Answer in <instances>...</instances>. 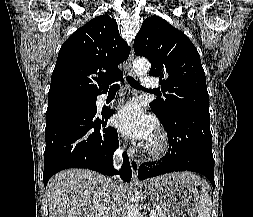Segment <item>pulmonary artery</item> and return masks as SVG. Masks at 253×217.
<instances>
[{
	"label": "pulmonary artery",
	"mask_w": 253,
	"mask_h": 217,
	"mask_svg": "<svg viewBox=\"0 0 253 217\" xmlns=\"http://www.w3.org/2000/svg\"><path fill=\"white\" fill-rule=\"evenodd\" d=\"M142 85L144 88L151 90V89L156 88L158 86V83L155 80H153L151 77L146 76L142 78ZM121 95L122 93L118 94V96H121ZM106 99H107L106 95H103L101 97L102 101H105Z\"/></svg>",
	"instance_id": "obj_1"
}]
</instances>
